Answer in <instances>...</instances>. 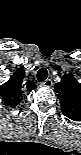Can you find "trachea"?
<instances>
[{"instance_id":"1","label":"trachea","mask_w":81,"mask_h":155,"mask_svg":"<svg viewBox=\"0 0 81 155\" xmlns=\"http://www.w3.org/2000/svg\"><path fill=\"white\" fill-rule=\"evenodd\" d=\"M48 77V71L45 68H41L38 72H37V80L40 82H43L47 79Z\"/></svg>"}]
</instances>
